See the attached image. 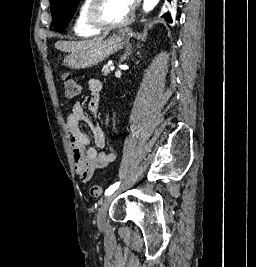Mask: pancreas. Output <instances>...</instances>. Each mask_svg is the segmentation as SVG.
I'll return each instance as SVG.
<instances>
[{
    "label": "pancreas",
    "instance_id": "pancreas-1",
    "mask_svg": "<svg viewBox=\"0 0 256 267\" xmlns=\"http://www.w3.org/2000/svg\"><path fill=\"white\" fill-rule=\"evenodd\" d=\"M107 74H110V70H109L108 66H103L102 76H107Z\"/></svg>",
    "mask_w": 256,
    "mask_h": 267
}]
</instances>
